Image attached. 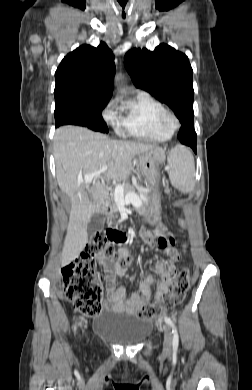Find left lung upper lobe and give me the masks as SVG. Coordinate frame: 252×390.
I'll return each instance as SVG.
<instances>
[{
  "instance_id": "obj_1",
  "label": "left lung upper lobe",
  "mask_w": 252,
  "mask_h": 390,
  "mask_svg": "<svg viewBox=\"0 0 252 390\" xmlns=\"http://www.w3.org/2000/svg\"><path fill=\"white\" fill-rule=\"evenodd\" d=\"M125 67L137 88L167 104L181 123L193 122V70L188 57L167 44L129 50Z\"/></svg>"
}]
</instances>
